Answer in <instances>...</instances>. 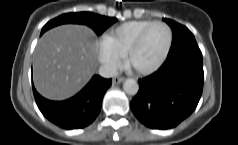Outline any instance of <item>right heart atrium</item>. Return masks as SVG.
I'll return each instance as SVG.
<instances>
[{
  "label": "right heart atrium",
  "instance_id": "1",
  "mask_svg": "<svg viewBox=\"0 0 238 145\" xmlns=\"http://www.w3.org/2000/svg\"><path fill=\"white\" fill-rule=\"evenodd\" d=\"M98 59L108 73H114L121 65V57L107 47L103 42L99 45Z\"/></svg>",
  "mask_w": 238,
  "mask_h": 145
}]
</instances>
